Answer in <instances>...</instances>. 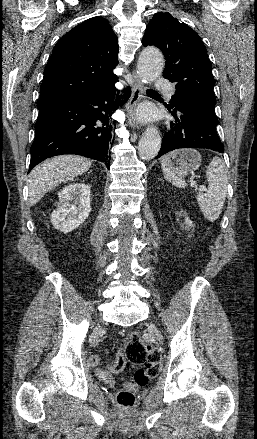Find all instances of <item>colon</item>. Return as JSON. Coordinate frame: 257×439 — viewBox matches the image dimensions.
Returning <instances> with one entry per match:
<instances>
[{
    "mask_svg": "<svg viewBox=\"0 0 257 439\" xmlns=\"http://www.w3.org/2000/svg\"><path fill=\"white\" fill-rule=\"evenodd\" d=\"M99 362L98 356L90 358V363L94 366L98 365ZM128 362L143 367L138 369L134 377L126 381L123 388L117 393V403L125 409L131 408L135 404V391L147 385L150 379L157 376L161 358L152 346L142 342L138 333L130 332L118 351L111 369L114 372H120ZM99 374L104 380L112 381L110 374L103 371H100Z\"/></svg>",
    "mask_w": 257,
    "mask_h": 439,
    "instance_id": "colon-1",
    "label": "colon"
}]
</instances>
